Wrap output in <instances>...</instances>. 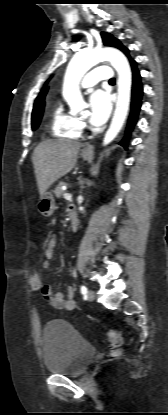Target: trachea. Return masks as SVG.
<instances>
[{
    "instance_id": "obj_1",
    "label": "trachea",
    "mask_w": 168,
    "mask_h": 415,
    "mask_svg": "<svg viewBox=\"0 0 168 415\" xmlns=\"http://www.w3.org/2000/svg\"><path fill=\"white\" fill-rule=\"evenodd\" d=\"M110 83H114L115 82V79L114 78H112V79H110V81H109Z\"/></svg>"
}]
</instances>
